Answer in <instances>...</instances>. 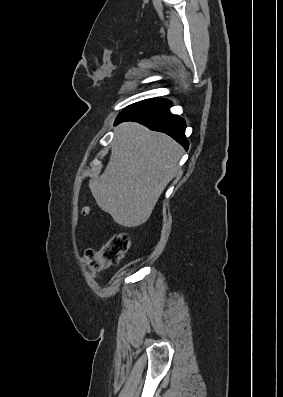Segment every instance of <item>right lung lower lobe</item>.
Here are the masks:
<instances>
[{
    "mask_svg": "<svg viewBox=\"0 0 283 397\" xmlns=\"http://www.w3.org/2000/svg\"><path fill=\"white\" fill-rule=\"evenodd\" d=\"M172 103L165 99L143 100L124 109L116 118L115 125L124 121H135L151 130L168 134L185 149L189 143L185 137L186 122L170 112Z\"/></svg>",
    "mask_w": 283,
    "mask_h": 397,
    "instance_id": "obj_1",
    "label": "right lung lower lobe"
}]
</instances>
